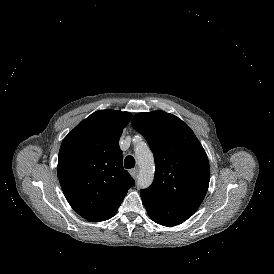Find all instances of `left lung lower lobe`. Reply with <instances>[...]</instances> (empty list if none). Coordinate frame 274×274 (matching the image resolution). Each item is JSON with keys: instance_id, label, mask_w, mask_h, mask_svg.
<instances>
[{"instance_id": "obj_1", "label": "left lung lower lobe", "mask_w": 274, "mask_h": 274, "mask_svg": "<svg viewBox=\"0 0 274 274\" xmlns=\"http://www.w3.org/2000/svg\"><path fill=\"white\" fill-rule=\"evenodd\" d=\"M142 202L153 221L164 226H175L188 219L194 211L171 205L158 196L140 191Z\"/></svg>"}]
</instances>
